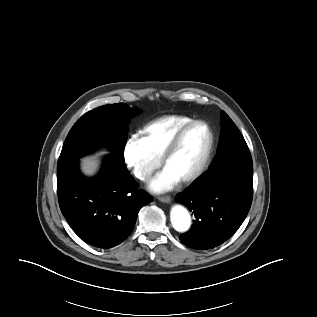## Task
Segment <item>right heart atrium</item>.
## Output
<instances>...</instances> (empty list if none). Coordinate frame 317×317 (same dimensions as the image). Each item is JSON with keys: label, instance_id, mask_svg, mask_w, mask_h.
<instances>
[{"label": "right heart atrium", "instance_id": "obj_1", "mask_svg": "<svg viewBox=\"0 0 317 317\" xmlns=\"http://www.w3.org/2000/svg\"><path fill=\"white\" fill-rule=\"evenodd\" d=\"M123 160L133 176L142 182L148 181L161 165V159L154 156L138 136H132L126 141Z\"/></svg>", "mask_w": 317, "mask_h": 317}]
</instances>
